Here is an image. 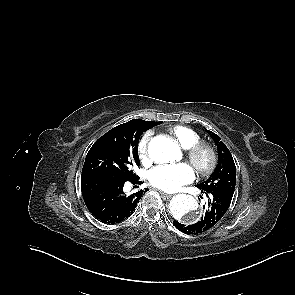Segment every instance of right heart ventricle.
<instances>
[{
	"label": "right heart ventricle",
	"mask_w": 295,
	"mask_h": 295,
	"mask_svg": "<svg viewBox=\"0 0 295 295\" xmlns=\"http://www.w3.org/2000/svg\"><path fill=\"white\" fill-rule=\"evenodd\" d=\"M169 132L175 137L180 146L185 150L201 142V136L195 130L186 126L177 125L171 127Z\"/></svg>",
	"instance_id": "1"
}]
</instances>
